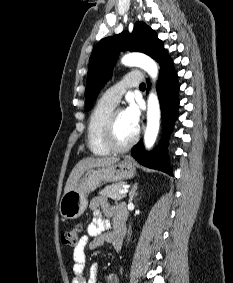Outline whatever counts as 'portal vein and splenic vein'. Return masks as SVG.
Listing matches in <instances>:
<instances>
[{
	"instance_id": "1",
	"label": "portal vein and splenic vein",
	"mask_w": 233,
	"mask_h": 283,
	"mask_svg": "<svg viewBox=\"0 0 233 283\" xmlns=\"http://www.w3.org/2000/svg\"><path fill=\"white\" fill-rule=\"evenodd\" d=\"M128 191H129L128 188L125 187V188H123L122 190H120L119 193H120V194H126V193H128Z\"/></svg>"
}]
</instances>
